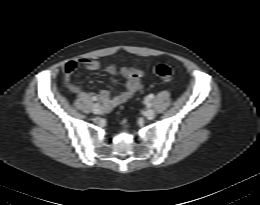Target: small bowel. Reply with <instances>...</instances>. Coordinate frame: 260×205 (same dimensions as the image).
Returning <instances> with one entry per match:
<instances>
[{"label": "small bowel", "instance_id": "c3829d8e", "mask_svg": "<svg viewBox=\"0 0 260 205\" xmlns=\"http://www.w3.org/2000/svg\"><path fill=\"white\" fill-rule=\"evenodd\" d=\"M78 67L97 70L100 68V62L93 58H81L65 64L63 68V82L65 87L73 92L82 91V88L73 80V74ZM105 71L111 75L120 77L123 82V89L117 95L111 96L107 89L101 90L98 94L99 100L105 106V109L108 110L125 103L137 92L141 86L143 72L137 68H117L114 65L107 66Z\"/></svg>", "mask_w": 260, "mask_h": 205}]
</instances>
